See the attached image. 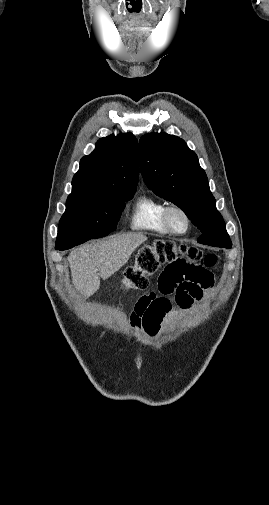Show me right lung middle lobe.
Wrapping results in <instances>:
<instances>
[{
    "label": "right lung middle lobe",
    "mask_w": 269,
    "mask_h": 505,
    "mask_svg": "<svg viewBox=\"0 0 269 505\" xmlns=\"http://www.w3.org/2000/svg\"><path fill=\"white\" fill-rule=\"evenodd\" d=\"M134 193H71L60 219L55 248L70 249L114 231Z\"/></svg>",
    "instance_id": "dd1d6c3e"
}]
</instances>
